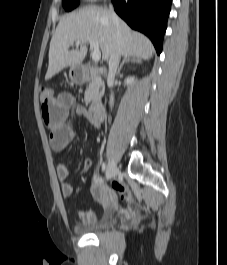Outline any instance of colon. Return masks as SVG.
<instances>
[{
	"label": "colon",
	"instance_id": "5ec220e1",
	"mask_svg": "<svg viewBox=\"0 0 227 265\" xmlns=\"http://www.w3.org/2000/svg\"><path fill=\"white\" fill-rule=\"evenodd\" d=\"M39 98L41 102H51L54 99V93L51 87L47 85H41L39 87ZM113 188L120 194L121 198L128 203H133L135 198L129 188L122 182L115 180L113 182Z\"/></svg>",
	"mask_w": 227,
	"mask_h": 265
}]
</instances>
